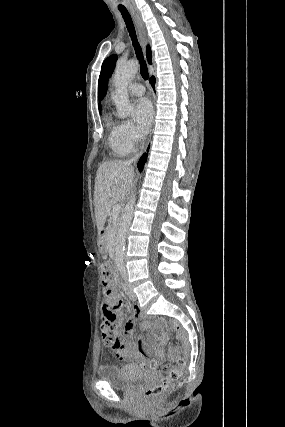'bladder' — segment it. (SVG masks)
Wrapping results in <instances>:
<instances>
[{"instance_id":"1","label":"bladder","mask_w":285,"mask_h":427,"mask_svg":"<svg viewBox=\"0 0 285 427\" xmlns=\"http://www.w3.org/2000/svg\"><path fill=\"white\" fill-rule=\"evenodd\" d=\"M97 376L100 381L111 386L130 389L134 384L152 374L132 365H106L98 369Z\"/></svg>"}]
</instances>
